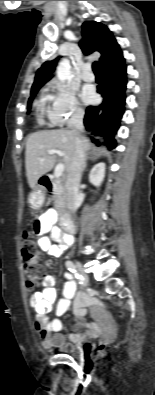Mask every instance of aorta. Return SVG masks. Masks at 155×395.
I'll list each match as a JSON object with an SVG mask.
<instances>
[{
    "label": "aorta",
    "instance_id": "1",
    "mask_svg": "<svg viewBox=\"0 0 155 395\" xmlns=\"http://www.w3.org/2000/svg\"><path fill=\"white\" fill-rule=\"evenodd\" d=\"M57 77L64 82L70 78V63L67 59H63L57 66Z\"/></svg>",
    "mask_w": 155,
    "mask_h": 395
}]
</instances>
